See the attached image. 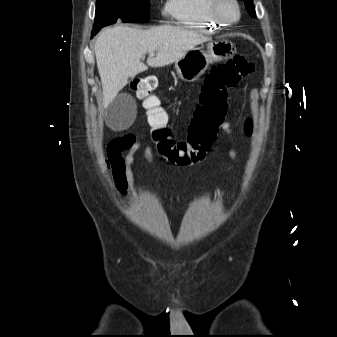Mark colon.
I'll return each instance as SVG.
<instances>
[{
  "mask_svg": "<svg viewBox=\"0 0 337 337\" xmlns=\"http://www.w3.org/2000/svg\"><path fill=\"white\" fill-rule=\"evenodd\" d=\"M253 71L254 65L242 56H234L213 67L201 87L187 137L183 140L175 138L165 113L158 108L156 102L148 100L157 87V79L144 76L134 80L133 91L148 100L149 133L158 155L176 165H187L202 159L210 149L226 115L228 90ZM244 131L248 136L252 134L251 119L245 121Z\"/></svg>",
  "mask_w": 337,
  "mask_h": 337,
  "instance_id": "5ec220e1",
  "label": "colon"
}]
</instances>
